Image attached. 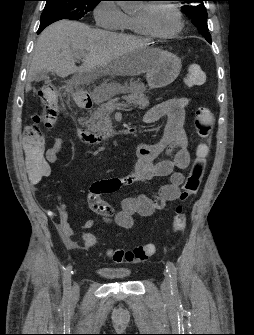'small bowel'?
<instances>
[{
  "mask_svg": "<svg viewBox=\"0 0 254 335\" xmlns=\"http://www.w3.org/2000/svg\"><path fill=\"white\" fill-rule=\"evenodd\" d=\"M188 104V98L175 96L152 107L146 113L144 122L153 124L160 118L167 117V123L157 141L150 143L137 142L138 162L135 173L122 177L101 179L91 185L88 205L102 222L114 224L127 230L132 228L135 216H151L154 212L164 209L168 202L179 199L181 186L185 180L181 170L187 168L190 162L188 136L184 129ZM63 146V138L55 137L52 145L46 150L43 159H47L49 165L57 162ZM161 156H164V158L158 160ZM156 177H168L169 181L152 196L138 195L123 199L120 209H116L103 198L104 194L114 193L121 188L134 184L146 183ZM42 179L29 178V181L36 184ZM49 216L57 218L56 228L65 246L70 249L78 248L74 231L68 222L65 205L61 203L56 212H49ZM94 225L95 221L88 219L84 227L91 228Z\"/></svg>",
  "mask_w": 254,
  "mask_h": 335,
  "instance_id": "small-bowel-1",
  "label": "small bowel"
}]
</instances>
